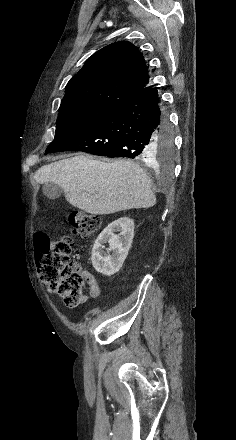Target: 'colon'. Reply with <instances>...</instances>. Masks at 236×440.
<instances>
[{"label":"colon","mask_w":236,"mask_h":440,"mask_svg":"<svg viewBox=\"0 0 236 440\" xmlns=\"http://www.w3.org/2000/svg\"><path fill=\"white\" fill-rule=\"evenodd\" d=\"M72 234L86 238L100 227V219L80 210H73L67 216ZM37 252L38 272L47 289L58 295L68 308H75L85 301L83 288L85 277L78 265L70 262L74 247L71 236L51 241L43 232L34 234Z\"/></svg>","instance_id":"obj_1"}]
</instances>
